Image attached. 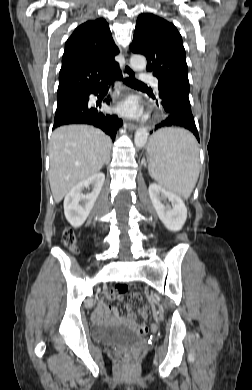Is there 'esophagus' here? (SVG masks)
Returning <instances> with one entry per match:
<instances>
[{
	"instance_id": "obj_1",
	"label": "esophagus",
	"mask_w": 252,
	"mask_h": 390,
	"mask_svg": "<svg viewBox=\"0 0 252 390\" xmlns=\"http://www.w3.org/2000/svg\"><path fill=\"white\" fill-rule=\"evenodd\" d=\"M125 76L129 78H134L136 76L135 71L131 68V66L126 63L123 67ZM125 127H127L129 130L136 129V125L132 122L125 123Z\"/></svg>"
}]
</instances>
